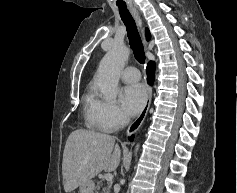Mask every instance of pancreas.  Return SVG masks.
<instances>
[{
  "instance_id": "obj_1",
  "label": "pancreas",
  "mask_w": 237,
  "mask_h": 193,
  "mask_svg": "<svg viewBox=\"0 0 237 193\" xmlns=\"http://www.w3.org/2000/svg\"><path fill=\"white\" fill-rule=\"evenodd\" d=\"M102 186H103V182L102 181L98 182V188ZM110 189H111V183L109 182L107 183L106 186L102 188V193H110Z\"/></svg>"
}]
</instances>
